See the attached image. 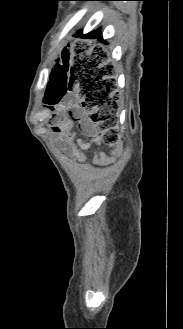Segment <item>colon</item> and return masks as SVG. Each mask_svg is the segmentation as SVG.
<instances>
[{
    "instance_id": "obj_1",
    "label": "colon",
    "mask_w": 183,
    "mask_h": 329,
    "mask_svg": "<svg viewBox=\"0 0 183 329\" xmlns=\"http://www.w3.org/2000/svg\"><path fill=\"white\" fill-rule=\"evenodd\" d=\"M80 44L73 55H47L48 71L57 68L56 81H46L47 103L56 109L63 103V109H85L91 113L92 120L102 133L103 141L115 146L118 141L116 127V102L110 96L113 82L103 78L100 73H118V66H103V62H114V55H95L99 50L90 52L91 37H80ZM57 62L53 67L52 62ZM116 150L110 152L115 156Z\"/></svg>"
}]
</instances>
